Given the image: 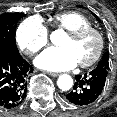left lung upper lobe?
Listing matches in <instances>:
<instances>
[{
  "instance_id": "obj_1",
  "label": "left lung upper lobe",
  "mask_w": 117,
  "mask_h": 117,
  "mask_svg": "<svg viewBox=\"0 0 117 117\" xmlns=\"http://www.w3.org/2000/svg\"><path fill=\"white\" fill-rule=\"evenodd\" d=\"M97 19L98 17L94 15ZM97 67L104 68L109 70V53H105L101 59V61L98 63Z\"/></svg>"
}]
</instances>
